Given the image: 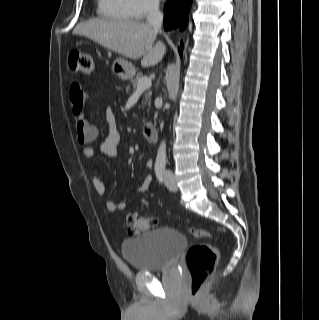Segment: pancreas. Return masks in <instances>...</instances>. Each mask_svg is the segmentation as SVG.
I'll list each match as a JSON object with an SVG mask.
<instances>
[{
    "label": "pancreas",
    "mask_w": 319,
    "mask_h": 320,
    "mask_svg": "<svg viewBox=\"0 0 319 320\" xmlns=\"http://www.w3.org/2000/svg\"><path fill=\"white\" fill-rule=\"evenodd\" d=\"M142 73H138L134 79L130 80V84L133 86V89L137 88L138 82L141 78H143ZM146 104L150 107L151 105V92L147 91L144 96V100L142 101V106L144 107Z\"/></svg>",
    "instance_id": "1"
}]
</instances>
